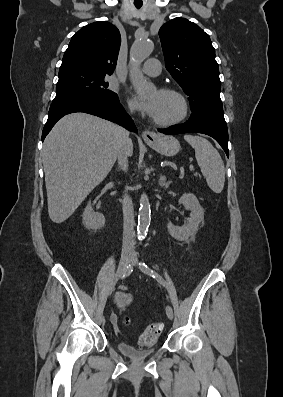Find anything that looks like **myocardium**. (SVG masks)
Listing matches in <instances>:
<instances>
[{
	"label": "myocardium",
	"mask_w": 283,
	"mask_h": 397,
	"mask_svg": "<svg viewBox=\"0 0 283 397\" xmlns=\"http://www.w3.org/2000/svg\"><path fill=\"white\" fill-rule=\"evenodd\" d=\"M159 93L162 94H171L176 96L180 103H181V112L180 114L172 119L169 120H157L153 118V122L161 127H169V126H174L177 125L179 123H181L183 120L186 119V117L188 116L189 113V102L188 99L186 98V96L178 89L176 88H172V87H163L161 89L158 90Z\"/></svg>",
	"instance_id": "f54148a6"
}]
</instances>
